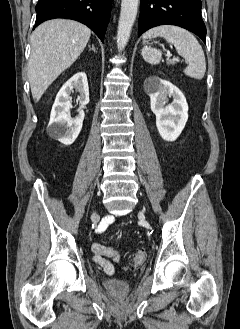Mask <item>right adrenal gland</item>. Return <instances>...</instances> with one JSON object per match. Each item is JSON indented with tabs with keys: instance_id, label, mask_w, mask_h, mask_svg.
Masks as SVG:
<instances>
[{
	"instance_id": "right-adrenal-gland-1",
	"label": "right adrenal gland",
	"mask_w": 240,
	"mask_h": 329,
	"mask_svg": "<svg viewBox=\"0 0 240 329\" xmlns=\"http://www.w3.org/2000/svg\"><path fill=\"white\" fill-rule=\"evenodd\" d=\"M89 50L96 52L94 45H92V47H90Z\"/></svg>"
}]
</instances>
